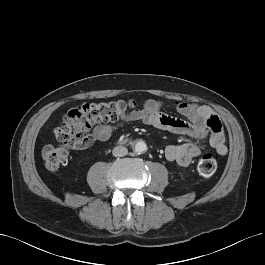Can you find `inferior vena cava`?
Wrapping results in <instances>:
<instances>
[{
  "mask_svg": "<svg viewBox=\"0 0 265 265\" xmlns=\"http://www.w3.org/2000/svg\"><path fill=\"white\" fill-rule=\"evenodd\" d=\"M112 154L115 157H123L128 154V149L124 146L119 145L113 148Z\"/></svg>",
  "mask_w": 265,
  "mask_h": 265,
  "instance_id": "602c4592",
  "label": "inferior vena cava"
}]
</instances>
